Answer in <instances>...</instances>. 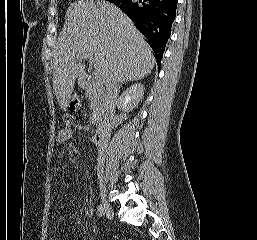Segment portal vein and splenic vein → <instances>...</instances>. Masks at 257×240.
Masks as SVG:
<instances>
[{"mask_svg":"<svg viewBox=\"0 0 257 240\" xmlns=\"http://www.w3.org/2000/svg\"><path fill=\"white\" fill-rule=\"evenodd\" d=\"M83 59H89V60H91L92 62L94 61V57H93L92 54H86V55H84V56H83ZM95 75H96V73H95ZM96 86H97V89H101L102 86H103V83H102L101 81H99V80L96 79Z\"/></svg>","mask_w":257,"mask_h":240,"instance_id":"1","label":"portal vein and splenic vein"}]
</instances>
